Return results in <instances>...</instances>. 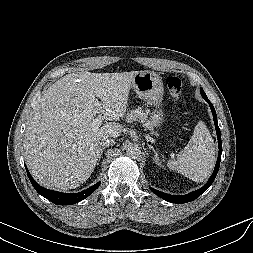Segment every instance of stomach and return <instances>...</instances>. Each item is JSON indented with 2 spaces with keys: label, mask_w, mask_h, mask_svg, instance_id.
<instances>
[{
  "label": "stomach",
  "mask_w": 253,
  "mask_h": 253,
  "mask_svg": "<svg viewBox=\"0 0 253 253\" xmlns=\"http://www.w3.org/2000/svg\"><path fill=\"white\" fill-rule=\"evenodd\" d=\"M132 87L139 98L155 107L150 122L153 129L160 127L164 121L162 109L164 86L161 77L152 71H140L135 75Z\"/></svg>",
  "instance_id": "stomach-1"
}]
</instances>
